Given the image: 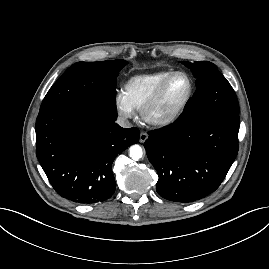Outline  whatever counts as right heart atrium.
<instances>
[{"label":"right heart atrium","instance_id":"obj_1","mask_svg":"<svg viewBox=\"0 0 269 269\" xmlns=\"http://www.w3.org/2000/svg\"><path fill=\"white\" fill-rule=\"evenodd\" d=\"M114 103L118 114L123 118L129 119L134 116L135 110L126 99L124 93H117L115 95Z\"/></svg>","mask_w":269,"mask_h":269}]
</instances>
